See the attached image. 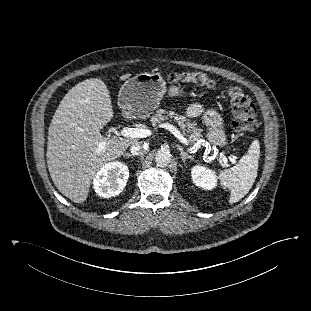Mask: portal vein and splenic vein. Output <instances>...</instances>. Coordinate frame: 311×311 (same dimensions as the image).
Instances as JSON below:
<instances>
[{
    "mask_svg": "<svg viewBox=\"0 0 311 311\" xmlns=\"http://www.w3.org/2000/svg\"><path fill=\"white\" fill-rule=\"evenodd\" d=\"M160 127L168 129L176 138H178L183 144L188 145L189 141L181 134V132L169 123L161 124ZM122 136L130 137V138H145L151 135L149 129H142V128H131V127H123L119 133ZM105 147V143H100L99 149L102 150ZM235 156L229 157V160L232 163H235ZM223 166L227 167V158L222 157Z\"/></svg>",
    "mask_w": 311,
    "mask_h": 311,
    "instance_id": "portal-vein-and-splenic-vein-1",
    "label": "portal vein and splenic vein"
}]
</instances>
